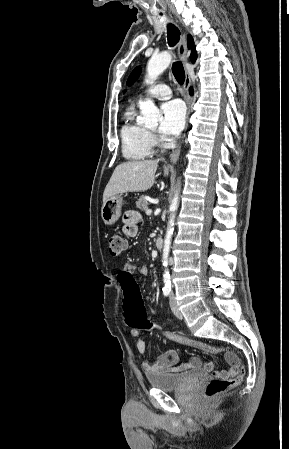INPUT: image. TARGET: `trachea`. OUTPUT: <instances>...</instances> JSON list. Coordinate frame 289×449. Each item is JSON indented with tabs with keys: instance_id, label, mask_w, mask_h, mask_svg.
I'll list each match as a JSON object with an SVG mask.
<instances>
[{
	"instance_id": "obj_1",
	"label": "trachea",
	"mask_w": 289,
	"mask_h": 449,
	"mask_svg": "<svg viewBox=\"0 0 289 449\" xmlns=\"http://www.w3.org/2000/svg\"><path fill=\"white\" fill-rule=\"evenodd\" d=\"M167 40L170 47H174L180 40V30L174 24L167 25ZM172 73L177 82L182 85L185 80V71L180 61L173 63Z\"/></svg>"
}]
</instances>
